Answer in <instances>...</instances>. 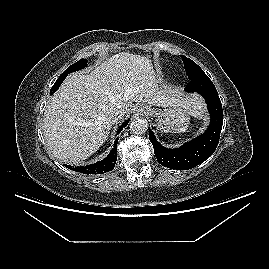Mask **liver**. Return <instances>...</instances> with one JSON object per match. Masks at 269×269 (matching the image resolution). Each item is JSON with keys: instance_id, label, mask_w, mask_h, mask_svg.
<instances>
[{"instance_id": "liver-1", "label": "liver", "mask_w": 269, "mask_h": 269, "mask_svg": "<svg viewBox=\"0 0 269 269\" xmlns=\"http://www.w3.org/2000/svg\"><path fill=\"white\" fill-rule=\"evenodd\" d=\"M133 102L157 107H180L201 117L204 103L196 95L178 90H159L148 57L117 53L88 74L68 76L51 97L45 111L43 135L57 159L74 164L95 153L106 141L113 108L131 112Z\"/></svg>"}]
</instances>
